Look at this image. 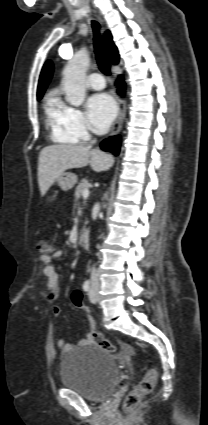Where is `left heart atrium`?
I'll use <instances>...</instances> for the list:
<instances>
[{
  "label": "left heart atrium",
  "mask_w": 208,
  "mask_h": 425,
  "mask_svg": "<svg viewBox=\"0 0 208 425\" xmlns=\"http://www.w3.org/2000/svg\"><path fill=\"white\" fill-rule=\"evenodd\" d=\"M116 113V104L108 94H95L87 101L88 121L92 130L96 133L106 132Z\"/></svg>",
  "instance_id": "left-heart-atrium-1"
}]
</instances>
